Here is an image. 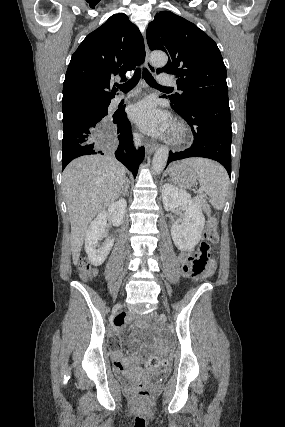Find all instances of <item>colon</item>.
<instances>
[{
	"label": "colon",
	"mask_w": 285,
	"mask_h": 427,
	"mask_svg": "<svg viewBox=\"0 0 285 427\" xmlns=\"http://www.w3.org/2000/svg\"><path fill=\"white\" fill-rule=\"evenodd\" d=\"M219 234L216 227L215 219H210L207 223V228L204 234V241L199 246V251L194 255L186 258L183 265V271L186 275L199 280L203 277L212 274L215 268V261L210 255V245L218 242ZM78 269L82 279H91L95 275V270L90 262L82 258L77 263ZM167 364L164 359L158 358H145L143 365L148 371L157 370L161 365ZM139 400L141 402H148L151 398V391L148 387L141 386L137 390Z\"/></svg>",
	"instance_id": "1"
}]
</instances>
